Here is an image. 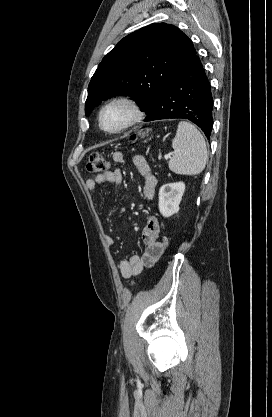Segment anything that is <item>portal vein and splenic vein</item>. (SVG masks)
Returning <instances> with one entry per match:
<instances>
[{"mask_svg": "<svg viewBox=\"0 0 272 417\" xmlns=\"http://www.w3.org/2000/svg\"><path fill=\"white\" fill-rule=\"evenodd\" d=\"M171 157V153L170 154H166L165 156H164V158L165 159H169Z\"/></svg>", "mask_w": 272, "mask_h": 417, "instance_id": "obj_1", "label": "portal vein and splenic vein"}]
</instances>
